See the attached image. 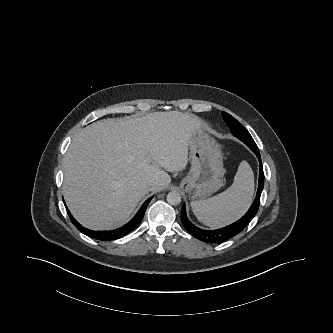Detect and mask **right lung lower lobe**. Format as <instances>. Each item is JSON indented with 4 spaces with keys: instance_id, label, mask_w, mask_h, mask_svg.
Returning a JSON list of instances; mask_svg holds the SVG:
<instances>
[{
    "instance_id": "98d812e1",
    "label": "right lung lower lobe",
    "mask_w": 333,
    "mask_h": 333,
    "mask_svg": "<svg viewBox=\"0 0 333 333\" xmlns=\"http://www.w3.org/2000/svg\"><path fill=\"white\" fill-rule=\"evenodd\" d=\"M152 197H150L149 199H147L143 205L141 206V208L139 209V211L137 212V214L133 217V219L131 221H129L127 224H125L124 226L115 229V230H111V231H93V230H89L87 228L82 227L71 215V213L69 212L64 200V205L66 207L67 213L72 221V223L75 225V227L82 232L83 234L97 239V240H101V241H110V240H116L119 239L125 235H127L128 233H130L133 229H135L139 223L141 222V220L143 219L144 213L146 211V208L149 204V202L151 201Z\"/></svg>"
}]
</instances>
